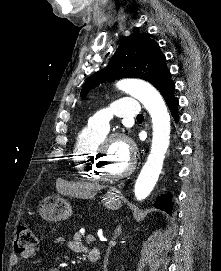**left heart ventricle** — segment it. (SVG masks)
<instances>
[{
  "label": "left heart ventricle",
  "mask_w": 221,
  "mask_h": 271,
  "mask_svg": "<svg viewBox=\"0 0 221 271\" xmlns=\"http://www.w3.org/2000/svg\"><path fill=\"white\" fill-rule=\"evenodd\" d=\"M104 164L108 175H123L124 168H127L128 164H131V159H127V156H108Z\"/></svg>",
  "instance_id": "1"
}]
</instances>
